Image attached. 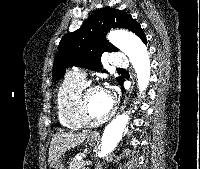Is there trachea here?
<instances>
[{
    "mask_svg": "<svg viewBox=\"0 0 200 169\" xmlns=\"http://www.w3.org/2000/svg\"><path fill=\"white\" fill-rule=\"evenodd\" d=\"M117 70H124V69H122V68H118Z\"/></svg>",
    "mask_w": 200,
    "mask_h": 169,
    "instance_id": "3493384b",
    "label": "trachea"
}]
</instances>
